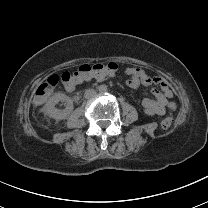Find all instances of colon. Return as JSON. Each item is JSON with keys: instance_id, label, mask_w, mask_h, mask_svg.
<instances>
[{"instance_id": "1", "label": "colon", "mask_w": 208, "mask_h": 208, "mask_svg": "<svg viewBox=\"0 0 208 208\" xmlns=\"http://www.w3.org/2000/svg\"><path fill=\"white\" fill-rule=\"evenodd\" d=\"M117 69V64L109 63H84L75 71L65 70L61 74H53L46 79L40 86L35 95V101L39 105H44L48 100L53 89L60 83H63L66 88L73 89L77 85L79 79L99 78L102 75L113 74ZM175 119L173 112L170 111L160 123V131L167 132L173 125Z\"/></svg>"}]
</instances>
